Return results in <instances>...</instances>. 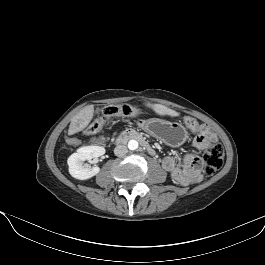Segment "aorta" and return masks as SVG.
<instances>
[{"label": "aorta", "mask_w": 265, "mask_h": 265, "mask_svg": "<svg viewBox=\"0 0 265 265\" xmlns=\"http://www.w3.org/2000/svg\"><path fill=\"white\" fill-rule=\"evenodd\" d=\"M138 146H139V144H138V142L136 140H130L128 142V148H129V150L134 151V150L138 149Z\"/></svg>", "instance_id": "1"}]
</instances>
